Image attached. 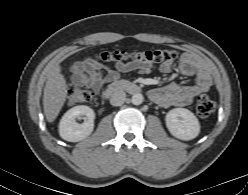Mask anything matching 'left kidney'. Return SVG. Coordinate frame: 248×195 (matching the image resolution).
Wrapping results in <instances>:
<instances>
[{"instance_id": "1", "label": "left kidney", "mask_w": 248, "mask_h": 195, "mask_svg": "<svg viewBox=\"0 0 248 195\" xmlns=\"http://www.w3.org/2000/svg\"><path fill=\"white\" fill-rule=\"evenodd\" d=\"M166 126L176 138L184 141L196 138L200 133L197 117L185 108H174L166 114Z\"/></svg>"}]
</instances>
